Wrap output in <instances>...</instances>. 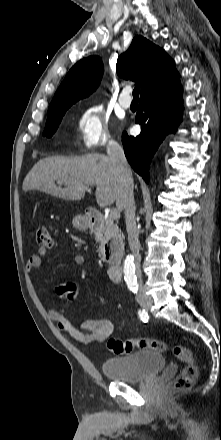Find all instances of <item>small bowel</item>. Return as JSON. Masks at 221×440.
Here are the masks:
<instances>
[{"label":"small bowel","instance_id":"small-bowel-1","mask_svg":"<svg viewBox=\"0 0 221 440\" xmlns=\"http://www.w3.org/2000/svg\"><path fill=\"white\" fill-rule=\"evenodd\" d=\"M45 254L46 249H40L37 254L29 258L26 265L28 274L32 275L41 267ZM72 261L75 265H82L84 257L81 254H74ZM47 313L50 319L57 323L61 331L84 345L102 343L111 336L114 330L112 322L108 319L88 318L80 326H76L61 309L47 308Z\"/></svg>","mask_w":221,"mask_h":440}]
</instances>
